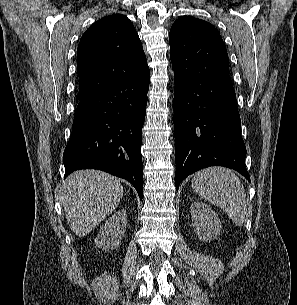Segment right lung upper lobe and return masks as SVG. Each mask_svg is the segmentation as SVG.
Wrapping results in <instances>:
<instances>
[{"label":"right lung upper lobe","mask_w":297,"mask_h":305,"mask_svg":"<svg viewBox=\"0 0 297 305\" xmlns=\"http://www.w3.org/2000/svg\"><path fill=\"white\" fill-rule=\"evenodd\" d=\"M146 67V56L131 21L121 14L103 17L87 29L78 45V98L127 79Z\"/></svg>","instance_id":"1"}]
</instances>
